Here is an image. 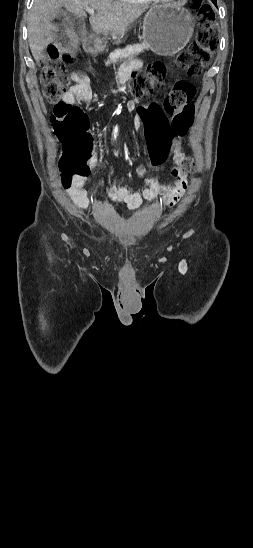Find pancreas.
I'll return each instance as SVG.
<instances>
[{
	"label": "pancreas",
	"instance_id": "pancreas-1",
	"mask_svg": "<svg viewBox=\"0 0 253 548\" xmlns=\"http://www.w3.org/2000/svg\"><path fill=\"white\" fill-rule=\"evenodd\" d=\"M148 50V47L143 44L128 45L123 49H116L109 54L106 65L116 63L119 60L128 59L134 60L137 55Z\"/></svg>",
	"mask_w": 253,
	"mask_h": 548
}]
</instances>
